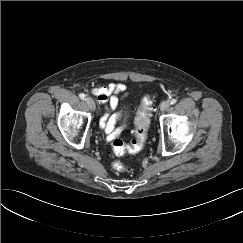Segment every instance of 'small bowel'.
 I'll return each mask as SVG.
<instances>
[{
  "instance_id": "c3829d8e",
  "label": "small bowel",
  "mask_w": 243,
  "mask_h": 243,
  "mask_svg": "<svg viewBox=\"0 0 243 243\" xmlns=\"http://www.w3.org/2000/svg\"><path fill=\"white\" fill-rule=\"evenodd\" d=\"M127 87L123 83L112 82L106 86H101L93 89V94L96 96L100 104L107 106L110 113H105L102 117L100 126L104 130L106 139L111 141L121 135L125 126L115 127L116 122L121 118V113L118 112V108L121 103L127 97ZM123 93V96L119 98L117 95Z\"/></svg>"
}]
</instances>
